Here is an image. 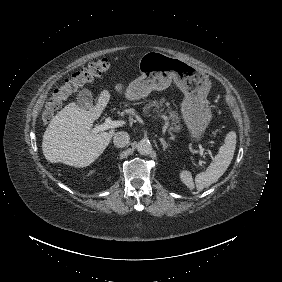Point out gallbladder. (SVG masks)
<instances>
[{
    "mask_svg": "<svg viewBox=\"0 0 282 282\" xmlns=\"http://www.w3.org/2000/svg\"><path fill=\"white\" fill-rule=\"evenodd\" d=\"M93 102V97L90 91L83 90L80 91L77 95V105L80 108H84L87 105H90Z\"/></svg>",
    "mask_w": 282,
    "mask_h": 282,
    "instance_id": "1",
    "label": "gallbladder"
}]
</instances>
